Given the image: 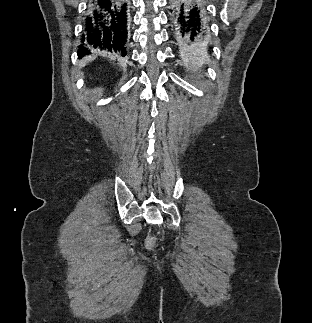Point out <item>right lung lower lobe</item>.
I'll return each mask as SVG.
<instances>
[{
  "instance_id": "98d812e1",
  "label": "right lung lower lobe",
  "mask_w": 312,
  "mask_h": 323,
  "mask_svg": "<svg viewBox=\"0 0 312 323\" xmlns=\"http://www.w3.org/2000/svg\"><path fill=\"white\" fill-rule=\"evenodd\" d=\"M87 4L78 56L91 54L93 48L125 56L130 27L127 0H90Z\"/></svg>"
}]
</instances>
